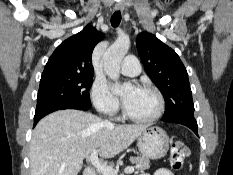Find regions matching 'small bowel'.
<instances>
[{"mask_svg": "<svg viewBox=\"0 0 233 175\" xmlns=\"http://www.w3.org/2000/svg\"><path fill=\"white\" fill-rule=\"evenodd\" d=\"M139 175H151V174L142 172ZM154 175H174V173L170 171L169 169L162 168V169L157 170Z\"/></svg>", "mask_w": 233, "mask_h": 175, "instance_id": "obj_1", "label": "small bowel"}]
</instances>
